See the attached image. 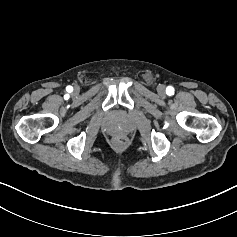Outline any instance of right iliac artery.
Masks as SVG:
<instances>
[{"mask_svg":"<svg viewBox=\"0 0 237 237\" xmlns=\"http://www.w3.org/2000/svg\"><path fill=\"white\" fill-rule=\"evenodd\" d=\"M70 88H71L70 91L73 90V87L70 86Z\"/></svg>","mask_w":237,"mask_h":237,"instance_id":"1","label":"right iliac artery"}]
</instances>
